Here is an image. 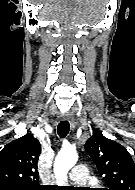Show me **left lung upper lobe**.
<instances>
[{
	"label": "left lung upper lobe",
	"mask_w": 135,
	"mask_h": 190,
	"mask_svg": "<svg viewBox=\"0 0 135 190\" xmlns=\"http://www.w3.org/2000/svg\"><path fill=\"white\" fill-rule=\"evenodd\" d=\"M84 148L104 175L105 190H135V164L125 147L97 131Z\"/></svg>",
	"instance_id": "5c2ea615"
}]
</instances>
